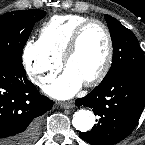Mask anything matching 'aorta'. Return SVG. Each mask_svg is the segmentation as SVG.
Wrapping results in <instances>:
<instances>
[{
    "mask_svg": "<svg viewBox=\"0 0 145 145\" xmlns=\"http://www.w3.org/2000/svg\"><path fill=\"white\" fill-rule=\"evenodd\" d=\"M72 124L78 131H90L95 124V115L89 110L80 109L73 114Z\"/></svg>",
    "mask_w": 145,
    "mask_h": 145,
    "instance_id": "1",
    "label": "aorta"
}]
</instances>
